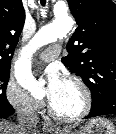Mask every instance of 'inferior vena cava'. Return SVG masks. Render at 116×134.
Segmentation results:
<instances>
[{"label":"inferior vena cava","instance_id":"602c4592","mask_svg":"<svg viewBox=\"0 0 116 134\" xmlns=\"http://www.w3.org/2000/svg\"><path fill=\"white\" fill-rule=\"evenodd\" d=\"M18 133L28 134V132L37 124L38 117L33 109L20 110L17 114Z\"/></svg>","mask_w":116,"mask_h":134}]
</instances>
